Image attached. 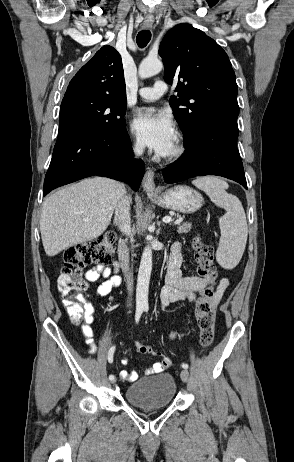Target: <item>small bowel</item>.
<instances>
[{"instance_id": "obj_1", "label": "small bowel", "mask_w": 294, "mask_h": 462, "mask_svg": "<svg viewBox=\"0 0 294 462\" xmlns=\"http://www.w3.org/2000/svg\"><path fill=\"white\" fill-rule=\"evenodd\" d=\"M182 247L179 242L172 245L171 254L167 266L165 276V286L162 288L159 296L161 308H165L168 305L178 301H189L195 302L198 293L204 288L205 280L200 276H184L181 272V266L183 263ZM118 264L114 263L113 267L107 265H97L92 269L88 270L85 274V278L88 282H98L96 297H103L108 295L113 288L120 286L122 278L116 273ZM229 286V280L222 278L216 289L215 303L217 304L221 299L224 291ZM84 306V323L81 326V332L83 339L87 345L89 353H95L97 346L94 341V332L91 324L94 320L95 306L92 302L83 300ZM175 333H171L170 337L174 338ZM147 347L144 345L137 344V349L140 353H147ZM123 364L127 363V360H122ZM170 360L164 357L161 361L154 363L152 366L145 369L146 375L160 373L170 367ZM136 371L122 370L120 372V378L125 381H135L138 378Z\"/></svg>"}]
</instances>
